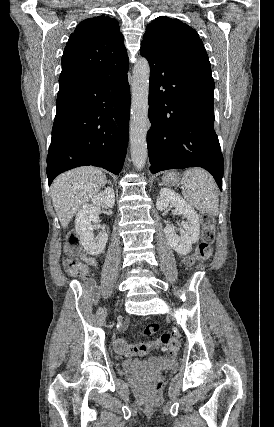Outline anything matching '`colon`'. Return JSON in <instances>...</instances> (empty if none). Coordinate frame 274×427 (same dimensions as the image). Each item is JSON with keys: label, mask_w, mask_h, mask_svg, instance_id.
Masks as SVG:
<instances>
[{"label": "colon", "mask_w": 274, "mask_h": 427, "mask_svg": "<svg viewBox=\"0 0 274 427\" xmlns=\"http://www.w3.org/2000/svg\"><path fill=\"white\" fill-rule=\"evenodd\" d=\"M215 240V225L214 219L206 215L203 217V228L201 232V240L198 242L195 253L192 254L188 259V264H193L196 260H203L209 258V254H212V245ZM64 269L70 274H75L81 268V264L77 258L79 251V243L75 234H70L64 244ZM159 331V326L155 323L147 324L143 327L141 336H149ZM163 349L167 354H175L179 348V339L170 335L169 333H163L160 336ZM114 348L117 353L122 355L146 356L149 350V345L145 342L131 343L125 338H118L114 342ZM152 386L143 387L142 393L148 395H157L158 389L163 388L162 377L158 380L152 381Z\"/></svg>", "instance_id": "colon-1"}]
</instances>
